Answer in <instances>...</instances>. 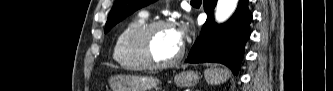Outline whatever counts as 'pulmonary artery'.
Returning <instances> with one entry per match:
<instances>
[{
	"label": "pulmonary artery",
	"mask_w": 333,
	"mask_h": 91,
	"mask_svg": "<svg viewBox=\"0 0 333 91\" xmlns=\"http://www.w3.org/2000/svg\"><path fill=\"white\" fill-rule=\"evenodd\" d=\"M142 14H143L144 16H147V15H148V13H147V12H142Z\"/></svg>",
	"instance_id": "1"
}]
</instances>
